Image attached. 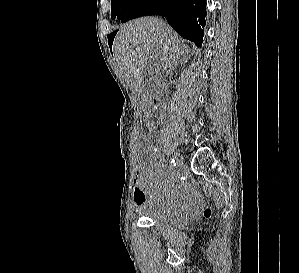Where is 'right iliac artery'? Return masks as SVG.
Listing matches in <instances>:
<instances>
[{
    "mask_svg": "<svg viewBox=\"0 0 299 273\" xmlns=\"http://www.w3.org/2000/svg\"><path fill=\"white\" fill-rule=\"evenodd\" d=\"M176 166V160L174 158L169 160V167L173 169Z\"/></svg>",
    "mask_w": 299,
    "mask_h": 273,
    "instance_id": "82829eb1",
    "label": "right iliac artery"
}]
</instances>
